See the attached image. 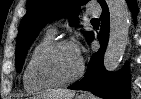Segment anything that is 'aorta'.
<instances>
[{
	"label": "aorta",
	"mask_w": 141,
	"mask_h": 99,
	"mask_svg": "<svg viewBox=\"0 0 141 99\" xmlns=\"http://www.w3.org/2000/svg\"><path fill=\"white\" fill-rule=\"evenodd\" d=\"M110 14L109 42L104 54V67L114 71L125 53L130 27V12L126 0H107Z\"/></svg>",
	"instance_id": "762f6f07"
}]
</instances>
